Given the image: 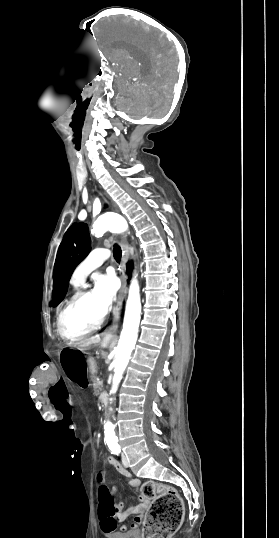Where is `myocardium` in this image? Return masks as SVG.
Here are the masks:
<instances>
[{"label": "myocardium", "mask_w": 279, "mask_h": 538, "mask_svg": "<svg viewBox=\"0 0 279 538\" xmlns=\"http://www.w3.org/2000/svg\"><path fill=\"white\" fill-rule=\"evenodd\" d=\"M105 232V227L101 224L100 227H99V230L97 233H95L94 235H102L103 233ZM91 293H93V290L92 289H81L79 290L69 301L68 303L63 307V309L61 310L59 316H58V319H57V331L60 335V337L62 339H64L65 341H68V342H77V341H80L90 335H92L93 333L97 332L104 320H105V317H106V312L103 313V315L100 317V319L97 321V323L90 329H88L87 331L79 334V335H75V336H71V335H68L65 330H64V319H65V316L67 314V312L74 306L76 305L77 303H79L80 301H82L83 299H85L87 296H89Z\"/></svg>", "instance_id": "f54148a6"}]
</instances>
